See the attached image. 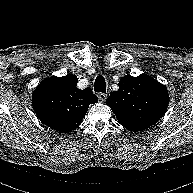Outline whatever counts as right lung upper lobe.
Instances as JSON below:
<instances>
[{
    "label": "right lung upper lobe",
    "instance_id": "cb5924a9",
    "mask_svg": "<svg viewBox=\"0 0 193 193\" xmlns=\"http://www.w3.org/2000/svg\"><path fill=\"white\" fill-rule=\"evenodd\" d=\"M78 78L73 74L46 78L32 94V106L41 122L51 129L67 133L82 122L90 104L98 101L91 88L76 87Z\"/></svg>",
    "mask_w": 193,
    "mask_h": 193
}]
</instances>
